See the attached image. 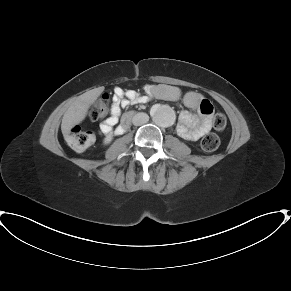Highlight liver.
Returning <instances> with one entry per match:
<instances>
[{"label": "liver", "instance_id": "obj_1", "mask_svg": "<svg viewBox=\"0 0 291 291\" xmlns=\"http://www.w3.org/2000/svg\"><path fill=\"white\" fill-rule=\"evenodd\" d=\"M103 90L104 87L95 88L74 100L62 118L61 130L64 135L69 134L75 125L85 119L90 106L97 100Z\"/></svg>", "mask_w": 291, "mask_h": 291}]
</instances>
